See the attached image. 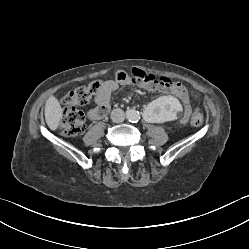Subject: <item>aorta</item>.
I'll use <instances>...</instances> for the list:
<instances>
[{
  "label": "aorta",
  "instance_id": "762f6f07",
  "mask_svg": "<svg viewBox=\"0 0 249 249\" xmlns=\"http://www.w3.org/2000/svg\"><path fill=\"white\" fill-rule=\"evenodd\" d=\"M126 117L130 122H138L140 119V113L137 110L131 109L127 111Z\"/></svg>",
  "mask_w": 249,
  "mask_h": 249
}]
</instances>
